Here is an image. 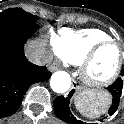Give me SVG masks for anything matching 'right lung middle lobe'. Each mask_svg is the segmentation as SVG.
<instances>
[{"label": "right lung middle lobe", "mask_w": 124, "mask_h": 124, "mask_svg": "<svg viewBox=\"0 0 124 124\" xmlns=\"http://www.w3.org/2000/svg\"><path fill=\"white\" fill-rule=\"evenodd\" d=\"M37 16L25 12L21 8H11L0 13V26L34 24Z\"/></svg>", "instance_id": "obj_1"}]
</instances>
